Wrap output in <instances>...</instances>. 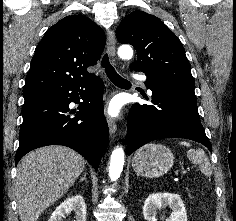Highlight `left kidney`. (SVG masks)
<instances>
[{"label":"left kidney","mask_w":236,"mask_h":221,"mask_svg":"<svg viewBox=\"0 0 236 221\" xmlns=\"http://www.w3.org/2000/svg\"><path fill=\"white\" fill-rule=\"evenodd\" d=\"M169 206L172 213L167 221H187L185 205L178 194L152 193L144 202L143 215L147 221H157V210Z\"/></svg>","instance_id":"1"}]
</instances>
